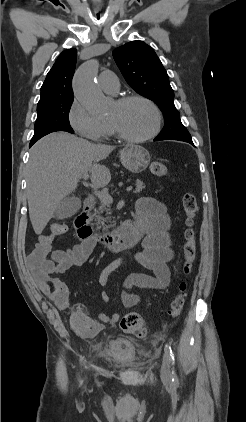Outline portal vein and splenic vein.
Returning <instances> with one entry per match:
<instances>
[{
	"label": "portal vein and splenic vein",
	"instance_id": "obj_1",
	"mask_svg": "<svg viewBox=\"0 0 246 422\" xmlns=\"http://www.w3.org/2000/svg\"><path fill=\"white\" fill-rule=\"evenodd\" d=\"M88 177H89V174L88 173H85L82 176V178H83L84 181H86L88 179ZM131 190H132V187L131 186H129V187L126 188V191L127 192H129ZM94 193H95V195L100 200H103L104 202H107V203H110V204L113 202V198L107 192H102V191L95 190Z\"/></svg>",
	"mask_w": 246,
	"mask_h": 422
}]
</instances>
